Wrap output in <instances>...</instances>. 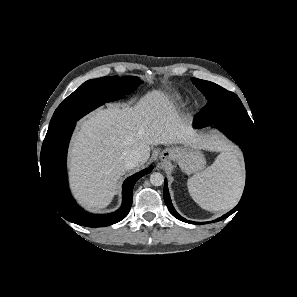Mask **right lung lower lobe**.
Wrapping results in <instances>:
<instances>
[{"instance_id":"98d812e1","label":"right lung lower lobe","mask_w":297,"mask_h":297,"mask_svg":"<svg viewBox=\"0 0 297 297\" xmlns=\"http://www.w3.org/2000/svg\"><path fill=\"white\" fill-rule=\"evenodd\" d=\"M75 122L45 137L41 154V177L46 194L56 211L66 220L86 227H104L121 221L130 211L132 191L136 181L150 173L152 167L129 177L123 184V202L119 210L105 215L91 214L81 209L73 200L67 181L66 155Z\"/></svg>"}]
</instances>
